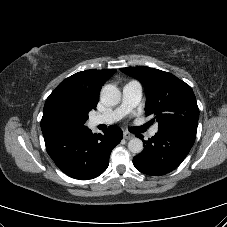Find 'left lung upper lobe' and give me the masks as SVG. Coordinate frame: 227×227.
Here are the masks:
<instances>
[{"label":"left lung upper lobe","instance_id":"obj_1","mask_svg":"<svg viewBox=\"0 0 227 227\" xmlns=\"http://www.w3.org/2000/svg\"><path fill=\"white\" fill-rule=\"evenodd\" d=\"M138 79L146 91V115H154L158 130L184 131L196 136L199 109L191 87L171 73L138 66L120 69Z\"/></svg>","mask_w":227,"mask_h":227}]
</instances>
